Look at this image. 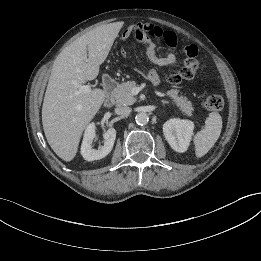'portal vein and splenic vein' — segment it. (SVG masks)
Masks as SVG:
<instances>
[{"mask_svg": "<svg viewBox=\"0 0 261 261\" xmlns=\"http://www.w3.org/2000/svg\"><path fill=\"white\" fill-rule=\"evenodd\" d=\"M91 90V87L89 85H81L79 86V91L78 93H87ZM132 94H137L139 90L137 88L132 89Z\"/></svg>", "mask_w": 261, "mask_h": 261, "instance_id": "1", "label": "portal vein and splenic vein"}]
</instances>
